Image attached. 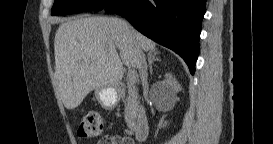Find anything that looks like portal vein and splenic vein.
I'll use <instances>...</instances> for the list:
<instances>
[{"label": "portal vein and splenic vein", "mask_w": 273, "mask_h": 144, "mask_svg": "<svg viewBox=\"0 0 273 144\" xmlns=\"http://www.w3.org/2000/svg\"><path fill=\"white\" fill-rule=\"evenodd\" d=\"M128 86H133L137 81V75L134 71H129L127 75Z\"/></svg>", "instance_id": "obj_1"}]
</instances>
